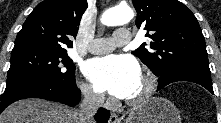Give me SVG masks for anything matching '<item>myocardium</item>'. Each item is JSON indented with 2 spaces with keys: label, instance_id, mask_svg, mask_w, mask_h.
<instances>
[{
  "label": "myocardium",
  "instance_id": "obj_1",
  "mask_svg": "<svg viewBox=\"0 0 221 123\" xmlns=\"http://www.w3.org/2000/svg\"><path fill=\"white\" fill-rule=\"evenodd\" d=\"M140 77L144 83V88L138 96L125 100L126 104L129 106H139L143 104L154 94L157 88V79L154 75L143 73Z\"/></svg>",
  "mask_w": 221,
  "mask_h": 123
}]
</instances>
